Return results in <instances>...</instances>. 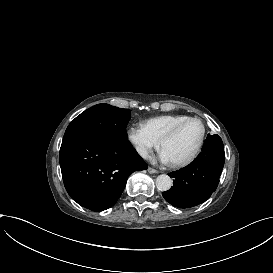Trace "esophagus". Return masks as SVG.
Masks as SVG:
<instances>
[{"label": "esophagus", "mask_w": 273, "mask_h": 273, "mask_svg": "<svg viewBox=\"0 0 273 273\" xmlns=\"http://www.w3.org/2000/svg\"><path fill=\"white\" fill-rule=\"evenodd\" d=\"M148 172H149V173H159L158 170L153 169L152 167H148Z\"/></svg>", "instance_id": "obj_1"}]
</instances>
